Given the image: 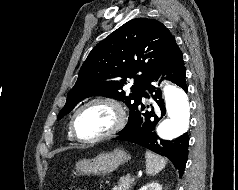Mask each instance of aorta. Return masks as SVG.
I'll return each instance as SVG.
<instances>
[{"label":"aorta","instance_id":"1","mask_svg":"<svg viewBox=\"0 0 238 190\" xmlns=\"http://www.w3.org/2000/svg\"><path fill=\"white\" fill-rule=\"evenodd\" d=\"M167 118L157 128V134L164 140H173L182 135L189 126L190 102L185 91L175 85L164 87Z\"/></svg>","mask_w":238,"mask_h":190}]
</instances>
